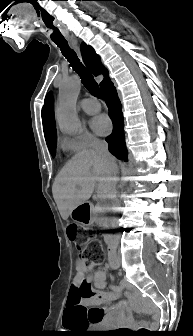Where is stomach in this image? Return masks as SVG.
I'll return each mask as SVG.
<instances>
[{"label": "stomach", "mask_w": 193, "mask_h": 336, "mask_svg": "<svg viewBox=\"0 0 193 336\" xmlns=\"http://www.w3.org/2000/svg\"><path fill=\"white\" fill-rule=\"evenodd\" d=\"M71 218L84 225L88 226L94 222V214L88 203H83L76 206L70 213Z\"/></svg>", "instance_id": "stomach-1"}]
</instances>
